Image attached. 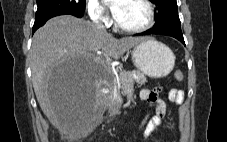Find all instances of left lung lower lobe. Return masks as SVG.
<instances>
[{"label": "left lung lower lobe", "instance_id": "1", "mask_svg": "<svg viewBox=\"0 0 227 142\" xmlns=\"http://www.w3.org/2000/svg\"><path fill=\"white\" fill-rule=\"evenodd\" d=\"M149 34H161V35H168L178 39L181 43L185 45L183 34L181 29L174 28V27H156L140 33L139 35H149Z\"/></svg>", "mask_w": 227, "mask_h": 142}]
</instances>
